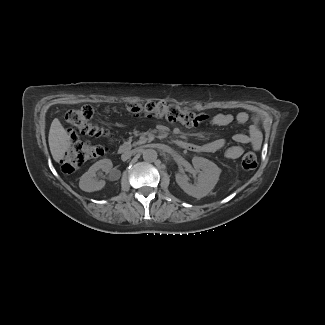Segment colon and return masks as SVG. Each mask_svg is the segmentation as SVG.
Listing matches in <instances>:
<instances>
[{
  "label": "colon",
  "mask_w": 325,
  "mask_h": 325,
  "mask_svg": "<svg viewBox=\"0 0 325 325\" xmlns=\"http://www.w3.org/2000/svg\"><path fill=\"white\" fill-rule=\"evenodd\" d=\"M124 111L131 116H153L166 118L170 121L180 122L188 127H196L207 120V116L184 110L174 104L166 102L129 103ZM95 108L84 105L78 109L67 112L66 121L73 131L94 137L110 136L108 130L95 120ZM107 148L94 145L89 142L74 144L63 156L62 170L71 173L86 162L103 156ZM257 166V158L254 153H246L241 159V167L244 171H252Z\"/></svg>",
  "instance_id": "colon-1"
}]
</instances>
